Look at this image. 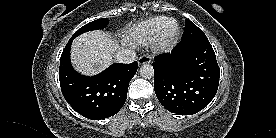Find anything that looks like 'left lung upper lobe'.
I'll return each instance as SVG.
<instances>
[{"label":"left lung upper lobe","mask_w":276,"mask_h":138,"mask_svg":"<svg viewBox=\"0 0 276 138\" xmlns=\"http://www.w3.org/2000/svg\"><path fill=\"white\" fill-rule=\"evenodd\" d=\"M200 37H206V35L192 21L186 19L185 31L181 38V41Z\"/></svg>","instance_id":"left-lung-upper-lobe-1"}]
</instances>
